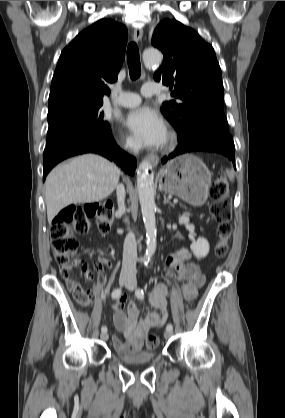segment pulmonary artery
I'll return each mask as SVG.
<instances>
[{
  "label": "pulmonary artery",
  "instance_id": "pulmonary-artery-1",
  "mask_svg": "<svg viewBox=\"0 0 285 418\" xmlns=\"http://www.w3.org/2000/svg\"><path fill=\"white\" fill-rule=\"evenodd\" d=\"M159 89L153 83H145L142 86V95L145 97H151L158 94ZM141 102V97L135 93L124 92L121 96L115 100L114 104L120 107H133Z\"/></svg>",
  "mask_w": 285,
  "mask_h": 418
}]
</instances>
